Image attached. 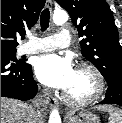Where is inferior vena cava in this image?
<instances>
[{"instance_id": "obj_1", "label": "inferior vena cava", "mask_w": 122, "mask_h": 123, "mask_svg": "<svg viewBox=\"0 0 122 123\" xmlns=\"http://www.w3.org/2000/svg\"><path fill=\"white\" fill-rule=\"evenodd\" d=\"M44 94H45V95L48 94V90H47V89L44 90ZM35 113L37 114V116H40V115H41L38 110H36Z\"/></svg>"}]
</instances>
